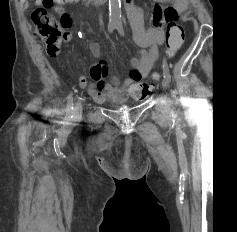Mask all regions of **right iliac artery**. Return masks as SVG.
<instances>
[{
    "label": "right iliac artery",
    "mask_w": 237,
    "mask_h": 232,
    "mask_svg": "<svg viewBox=\"0 0 237 232\" xmlns=\"http://www.w3.org/2000/svg\"><path fill=\"white\" fill-rule=\"evenodd\" d=\"M115 29L114 24H110L108 26V31L112 32ZM67 120H71L73 118V94L70 93L68 96L67 107H66V117Z\"/></svg>",
    "instance_id": "1"
}]
</instances>
